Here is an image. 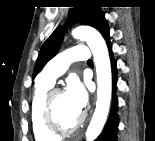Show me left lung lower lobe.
<instances>
[{
	"label": "left lung lower lobe",
	"mask_w": 155,
	"mask_h": 141,
	"mask_svg": "<svg viewBox=\"0 0 155 141\" xmlns=\"http://www.w3.org/2000/svg\"><path fill=\"white\" fill-rule=\"evenodd\" d=\"M110 35H108L105 40L108 46L110 60H111V68H112V87H113V97H112V105L109 114V118L107 123L100 134V136L95 141H116V132L118 130V114H117V107H118V100L115 94L116 91V84H117V63L113 58V51L112 45L109 39Z\"/></svg>",
	"instance_id": "obj_1"
}]
</instances>
